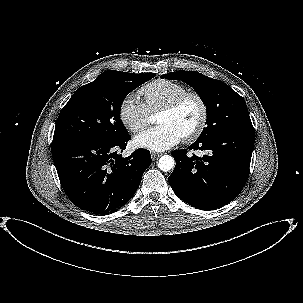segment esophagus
I'll return each mask as SVG.
<instances>
[{
    "label": "esophagus",
    "instance_id": "34e87169",
    "mask_svg": "<svg viewBox=\"0 0 303 303\" xmlns=\"http://www.w3.org/2000/svg\"><path fill=\"white\" fill-rule=\"evenodd\" d=\"M162 154L161 153H156V152H152L151 156L153 160H156L158 157H160Z\"/></svg>",
    "mask_w": 303,
    "mask_h": 303
}]
</instances>
